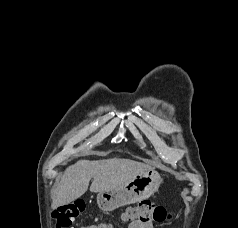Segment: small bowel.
I'll return each mask as SVG.
<instances>
[{
  "instance_id": "obj_1",
  "label": "small bowel",
  "mask_w": 238,
  "mask_h": 228,
  "mask_svg": "<svg viewBox=\"0 0 238 228\" xmlns=\"http://www.w3.org/2000/svg\"><path fill=\"white\" fill-rule=\"evenodd\" d=\"M128 228H154L152 224H141L138 222H131Z\"/></svg>"
}]
</instances>
